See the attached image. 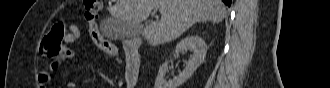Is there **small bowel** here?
<instances>
[{"label":"small bowel","mask_w":330,"mask_h":88,"mask_svg":"<svg viewBox=\"0 0 330 88\" xmlns=\"http://www.w3.org/2000/svg\"><path fill=\"white\" fill-rule=\"evenodd\" d=\"M66 30H67V35L64 38L63 41V52L61 57H59L56 62L61 63L64 62L68 59H71L75 55V51L73 48L69 47V45L74 44L75 42L78 41L80 37V30L78 26L75 24H68L66 25ZM108 54L111 55H117L118 50L115 48V51H106ZM128 67V64H127ZM57 69V64L51 65L49 68L43 69L40 71L39 76H38V82L41 86H46L48 85L51 80H52V74L53 72ZM127 70V68H126ZM76 85L74 82L70 81L66 84L67 88H74Z\"/></svg>","instance_id":"1"}]
</instances>
